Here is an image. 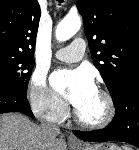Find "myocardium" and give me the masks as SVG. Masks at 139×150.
I'll use <instances>...</instances> for the list:
<instances>
[{"label":"myocardium","mask_w":139,"mask_h":150,"mask_svg":"<svg viewBox=\"0 0 139 150\" xmlns=\"http://www.w3.org/2000/svg\"><path fill=\"white\" fill-rule=\"evenodd\" d=\"M97 92L102 96L106 105V114L100 121L97 122L86 121L79 115L77 108L74 109L75 121L77 122V124L87 129L92 130L103 129L112 123L116 115V105L111 93L102 88L97 89Z\"/></svg>","instance_id":"myocardium-1"}]
</instances>
